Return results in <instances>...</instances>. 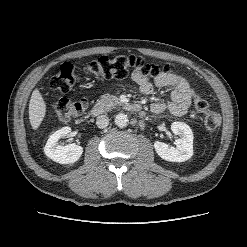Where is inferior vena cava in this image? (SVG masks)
<instances>
[{
    "instance_id": "obj_1",
    "label": "inferior vena cava",
    "mask_w": 247,
    "mask_h": 247,
    "mask_svg": "<svg viewBox=\"0 0 247 247\" xmlns=\"http://www.w3.org/2000/svg\"><path fill=\"white\" fill-rule=\"evenodd\" d=\"M109 124V118L106 115H100L96 119V125L98 128H106Z\"/></svg>"
}]
</instances>
